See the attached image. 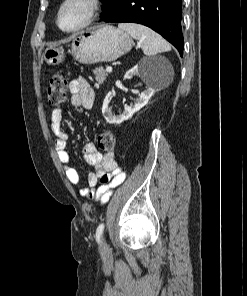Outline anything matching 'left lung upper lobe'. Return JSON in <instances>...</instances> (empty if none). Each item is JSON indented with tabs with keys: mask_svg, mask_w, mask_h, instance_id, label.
I'll list each match as a JSON object with an SVG mask.
<instances>
[{
	"mask_svg": "<svg viewBox=\"0 0 247 296\" xmlns=\"http://www.w3.org/2000/svg\"><path fill=\"white\" fill-rule=\"evenodd\" d=\"M101 1L103 2V9H102V13H101V15H102L103 13H105L109 9L110 3L112 0H101Z\"/></svg>",
	"mask_w": 247,
	"mask_h": 296,
	"instance_id": "5c2ea615",
	"label": "left lung upper lobe"
}]
</instances>
